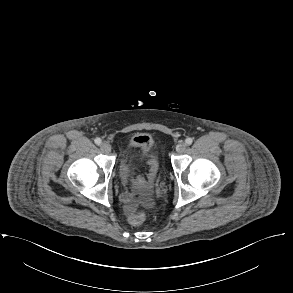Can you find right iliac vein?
<instances>
[{
  "label": "right iliac vein",
  "instance_id": "obj_1",
  "mask_svg": "<svg viewBox=\"0 0 293 293\" xmlns=\"http://www.w3.org/2000/svg\"><path fill=\"white\" fill-rule=\"evenodd\" d=\"M100 147H101V150L106 153H109L112 149L111 145L108 142L101 143Z\"/></svg>",
  "mask_w": 293,
  "mask_h": 293
}]
</instances>
